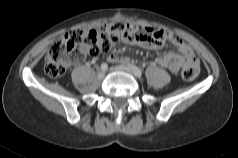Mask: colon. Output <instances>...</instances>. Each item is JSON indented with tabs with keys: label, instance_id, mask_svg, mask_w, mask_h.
Here are the masks:
<instances>
[{
	"label": "colon",
	"instance_id": "obj_1",
	"mask_svg": "<svg viewBox=\"0 0 238 158\" xmlns=\"http://www.w3.org/2000/svg\"><path fill=\"white\" fill-rule=\"evenodd\" d=\"M133 34L132 25L124 22L94 29H73L52 45L45 58L44 71L51 78H59L72 63L106 52L114 43L129 40ZM181 74L183 79L192 81L199 74V66L185 67Z\"/></svg>",
	"mask_w": 238,
	"mask_h": 158
}]
</instances>
